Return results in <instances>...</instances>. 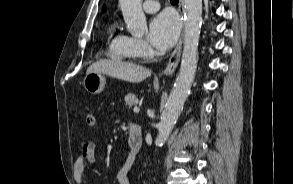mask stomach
I'll list each match as a JSON object with an SVG mask.
<instances>
[{"instance_id":"1","label":"stomach","mask_w":293,"mask_h":184,"mask_svg":"<svg viewBox=\"0 0 293 184\" xmlns=\"http://www.w3.org/2000/svg\"><path fill=\"white\" fill-rule=\"evenodd\" d=\"M83 85L87 92L99 94L106 86V78L102 73H88L83 80Z\"/></svg>"}]
</instances>
